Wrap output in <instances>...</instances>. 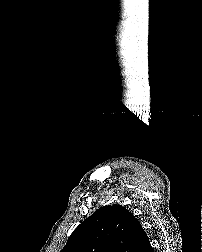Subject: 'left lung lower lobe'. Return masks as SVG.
<instances>
[{
	"label": "left lung lower lobe",
	"mask_w": 202,
	"mask_h": 252,
	"mask_svg": "<svg viewBox=\"0 0 202 252\" xmlns=\"http://www.w3.org/2000/svg\"><path fill=\"white\" fill-rule=\"evenodd\" d=\"M134 252H154L150 240L145 230L140 228Z\"/></svg>",
	"instance_id": "0a47b994"
}]
</instances>
